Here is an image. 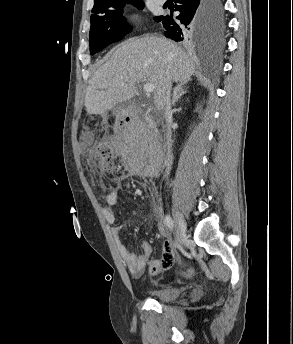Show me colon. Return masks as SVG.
<instances>
[{"mask_svg":"<svg viewBox=\"0 0 293 344\" xmlns=\"http://www.w3.org/2000/svg\"><path fill=\"white\" fill-rule=\"evenodd\" d=\"M83 136L89 138V132H84ZM96 165L97 168L103 173H114L115 172V162L113 149L110 142H102L98 145L96 151ZM108 188H113L114 183L112 181L107 183ZM191 270L185 272V276L191 274Z\"/></svg>","mask_w":293,"mask_h":344,"instance_id":"5ec220e1","label":"colon"}]
</instances>
